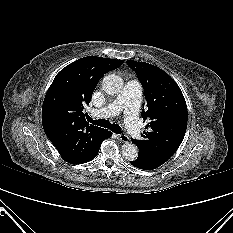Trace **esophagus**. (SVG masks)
<instances>
[{"label":"esophagus","mask_w":233,"mask_h":233,"mask_svg":"<svg viewBox=\"0 0 233 233\" xmlns=\"http://www.w3.org/2000/svg\"><path fill=\"white\" fill-rule=\"evenodd\" d=\"M117 138L123 143H127L129 141V137L126 134H119Z\"/></svg>","instance_id":"obj_1"}]
</instances>
